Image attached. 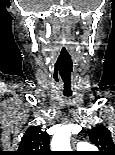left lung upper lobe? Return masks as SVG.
Listing matches in <instances>:
<instances>
[{"instance_id": "1", "label": "left lung upper lobe", "mask_w": 115, "mask_h": 155, "mask_svg": "<svg viewBox=\"0 0 115 155\" xmlns=\"http://www.w3.org/2000/svg\"><path fill=\"white\" fill-rule=\"evenodd\" d=\"M90 141L101 149L98 155H115V145L111 132L104 126H97L88 131Z\"/></svg>"}]
</instances>
